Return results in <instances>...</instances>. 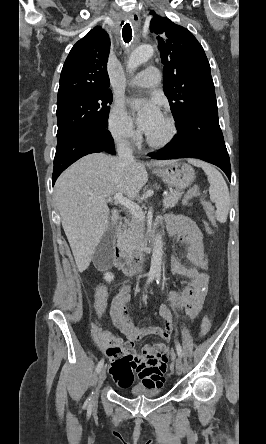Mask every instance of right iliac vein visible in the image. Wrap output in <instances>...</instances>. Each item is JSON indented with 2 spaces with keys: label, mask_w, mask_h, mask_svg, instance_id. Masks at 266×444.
<instances>
[{
  "label": "right iliac vein",
  "mask_w": 266,
  "mask_h": 444,
  "mask_svg": "<svg viewBox=\"0 0 266 444\" xmlns=\"http://www.w3.org/2000/svg\"><path fill=\"white\" fill-rule=\"evenodd\" d=\"M105 378H106V370L103 367L98 374V378H97V382H96V389H95V396L98 395Z\"/></svg>",
  "instance_id": "right-iliac-vein-1"
}]
</instances>
